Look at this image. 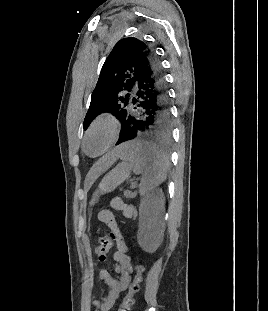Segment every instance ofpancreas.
<instances>
[{"label": "pancreas", "mask_w": 268, "mask_h": 311, "mask_svg": "<svg viewBox=\"0 0 268 311\" xmlns=\"http://www.w3.org/2000/svg\"><path fill=\"white\" fill-rule=\"evenodd\" d=\"M121 208L124 210L126 216L131 214V212L133 211V208L131 206H127L126 204H123Z\"/></svg>", "instance_id": "1"}]
</instances>
